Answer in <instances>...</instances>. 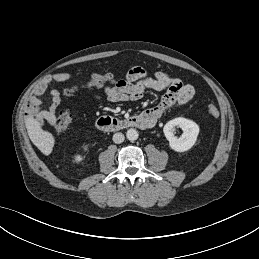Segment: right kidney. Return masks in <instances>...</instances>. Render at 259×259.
<instances>
[{"label":"right kidney","mask_w":259,"mask_h":259,"mask_svg":"<svg viewBox=\"0 0 259 259\" xmlns=\"http://www.w3.org/2000/svg\"><path fill=\"white\" fill-rule=\"evenodd\" d=\"M83 150L86 152L88 150V146H84ZM83 160V156L78 154L74 157V162L80 163Z\"/></svg>","instance_id":"ca27d5eb"}]
</instances>
